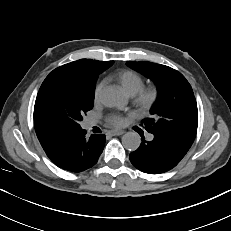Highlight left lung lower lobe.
Segmentation results:
<instances>
[{"label":"left lung lower lobe","instance_id":"1","mask_svg":"<svg viewBox=\"0 0 231 231\" xmlns=\"http://www.w3.org/2000/svg\"><path fill=\"white\" fill-rule=\"evenodd\" d=\"M152 140L142 137L139 148L130 154L131 163L140 171L160 174L174 168L190 149L193 141L162 133H152Z\"/></svg>","mask_w":231,"mask_h":231}]
</instances>
